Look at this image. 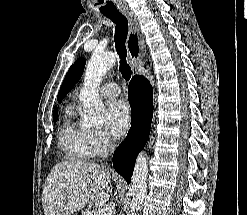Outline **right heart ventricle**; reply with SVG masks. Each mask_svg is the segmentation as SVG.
I'll use <instances>...</instances> for the list:
<instances>
[{
    "label": "right heart ventricle",
    "instance_id": "1",
    "mask_svg": "<svg viewBox=\"0 0 247 215\" xmlns=\"http://www.w3.org/2000/svg\"><path fill=\"white\" fill-rule=\"evenodd\" d=\"M73 116L74 108L70 106L58 133L59 145L68 159L86 161L93 156L88 138L89 131L76 125L73 121Z\"/></svg>",
    "mask_w": 247,
    "mask_h": 215
}]
</instances>
